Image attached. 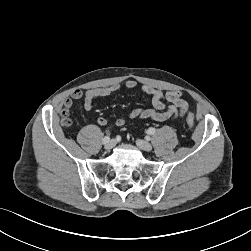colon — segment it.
Masks as SVG:
<instances>
[{
	"label": "colon",
	"mask_w": 251,
	"mask_h": 251,
	"mask_svg": "<svg viewBox=\"0 0 251 251\" xmlns=\"http://www.w3.org/2000/svg\"><path fill=\"white\" fill-rule=\"evenodd\" d=\"M61 123H62L63 126H70L72 124V120L68 116V110H64L62 112ZM186 124L190 128L194 127L195 118H194V115L192 113H187V115H186Z\"/></svg>",
	"instance_id": "5ec220e1"
}]
</instances>
